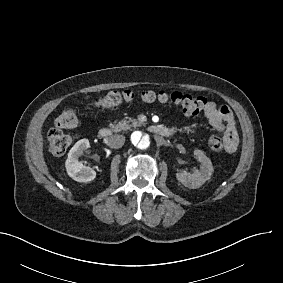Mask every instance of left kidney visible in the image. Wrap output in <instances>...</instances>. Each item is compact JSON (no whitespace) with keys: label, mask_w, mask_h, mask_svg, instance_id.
I'll return each instance as SVG.
<instances>
[{"label":"left kidney","mask_w":283,"mask_h":283,"mask_svg":"<svg viewBox=\"0 0 283 283\" xmlns=\"http://www.w3.org/2000/svg\"><path fill=\"white\" fill-rule=\"evenodd\" d=\"M193 154L201 163L200 170H197L194 174L180 171L175 175L180 183L189 188L196 189L202 186L207 180L211 179L214 169L211 160L203 151L195 149Z\"/></svg>","instance_id":"left-kidney-1"}]
</instances>
